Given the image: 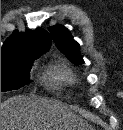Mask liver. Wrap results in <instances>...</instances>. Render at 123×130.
Here are the masks:
<instances>
[{
	"mask_svg": "<svg viewBox=\"0 0 123 130\" xmlns=\"http://www.w3.org/2000/svg\"><path fill=\"white\" fill-rule=\"evenodd\" d=\"M88 128L57 100L14 96L1 103V130H73Z\"/></svg>",
	"mask_w": 123,
	"mask_h": 130,
	"instance_id": "obj_1",
	"label": "liver"
}]
</instances>
